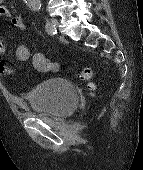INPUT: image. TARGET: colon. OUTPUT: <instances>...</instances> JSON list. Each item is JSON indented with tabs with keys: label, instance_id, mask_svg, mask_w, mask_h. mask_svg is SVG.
I'll list each match as a JSON object with an SVG mask.
<instances>
[{
	"label": "colon",
	"instance_id": "colon-1",
	"mask_svg": "<svg viewBox=\"0 0 143 170\" xmlns=\"http://www.w3.org/2000/svg\"><path fill=\"white\" fill-rule=\"evenodd\" d=\"M81 78L85 81H90L92 78V69L90 67H84L81 71ZM88 86L90 90L95 89V85L91 82H89Z\"/></svg>",
	"mask_w": 143,
	"mask_h": 170
}]
</instances>
